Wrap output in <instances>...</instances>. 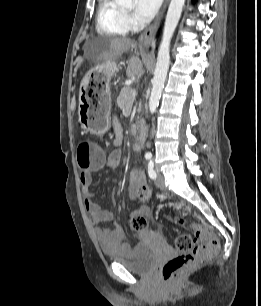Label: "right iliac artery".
Segmentation results:
<instances>
[{
  "label": "right iliac artery",
  "instance_id": "82829eb1",
  "mask_svg": "<svg viewBox=\"0 0 261 306\" xmlns=\"http://www.w3.org/2000/svg\"><path fill=\"white\" fill-rule=\"evenodd\" d=\"M145 157L147 160H149L151 158V155H146Z\"/></svg>",
  "mask_w": 261,
  "mask_h": 306
}]
</instances>
